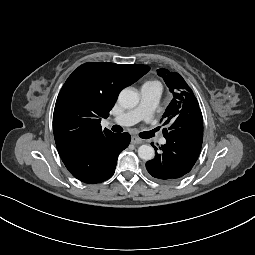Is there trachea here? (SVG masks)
I'll use <instances>...</instances> for the list:
<instances>
[{
  "mask_svg": "<svg viewBox=\"0 0 255 255\" xmlns=\"http://www.w3.org/2000/svg\"><path fill=\"white\" fill-rule=\"evenodd\" d=\"M112 130L114 132H122L123 131V128L120 127L119 125H113L112 126ZM152 135H151V132H142L140 133V137L141 138H144V139H147V138H150Z\"/></svg>",
  "mask_w": 255,
  "mask_h": 255,
  "instance_id": "obj_1",
  "label": "trachea"
}]
</instances>
